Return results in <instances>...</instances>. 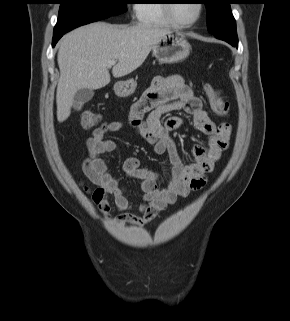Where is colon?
Returning <instances> with one entry per match:
<instances>
[{"instance_id": "1", "label": "colon", "mask_w": 290, "mask_h": 321, "mask_svg": "<svg viewBox=\"0 0 290 321\" xmlns=\"http://www.w3.org/2000/svg\"><path fill=\"white\" fill-rule=\"evenodd\" d=\"M205 92L209 99L212 110L218 115H226L228 113L227 104L220 98L215 88L209 84L205 86ZM100 118L94 112H85L82 114L80 125L82 129L89 130L97 125ZM96 190L93 192V194Z\"/></svg>"}]
</instances>
